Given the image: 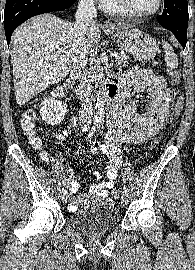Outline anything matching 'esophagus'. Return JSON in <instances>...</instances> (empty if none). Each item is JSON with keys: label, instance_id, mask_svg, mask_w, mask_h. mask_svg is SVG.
Masks as SVG:
<instances>
[{"label": "esophagus", "instance_id": "34e87169", "mask_svg": "<svg viewBox=\"0 0 195 270\" xmlns=\"http://www.w3.org/2000/svg\"><path fill=\"white\" fill-rule=\"evenodd\" d=\"M103 25L105 28H114L113 24L109 20L104 21Z\"/></svg>", "mask_w": 195, "mask_h": 270}]
</instances>
